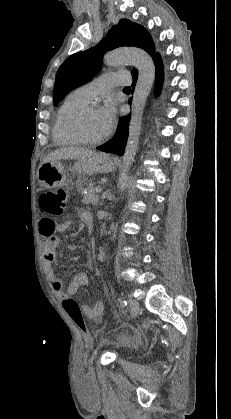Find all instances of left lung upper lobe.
Here are the masks:
<instances>
[{
    "label": "left lung upper lobe",
    "instance_id": "left-lung-upper-lobe-1",
    "mask_svg": "<svg viewBox=\"0 0 231 419\" xmlns=\"http://www.w3.org/2000/svg\"><path fill=\"white\" fill-rule=\"evenodd\" d=\"M124 46L142 48L152 58L156 55L150 34L141 25L121 19L97 47L77 52L62 63L54 85V105L56 106L69 91L87 83L99 72L101 59L106 51ZM135 73L137 71L133 69L132 74Z\"/></svg>",
    "mask_w": 231,
    "mask_h": 419
}]
</instances>
